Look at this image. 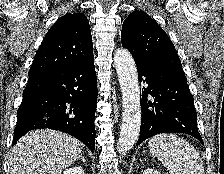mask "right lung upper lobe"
I'll list each match as a JSON object with an SVG mask.
<instances>
[{
	"instance_id": "1",
	"label": "right lung upper lobe",
	"mask_w": 224,
	"mask_h": 174,
	"mask_svg": "<svg viewBox=\"0 0 224 174\" xmlns=\"http://www.w3.org/2000/svg\"><path fill=\"white\" fill-rule=\"evenodd\" d=\"M91 60L93 44L89 21L83 13H67L47 32L36 52L29 77Z\"/></svg>"
}]
</instances>
